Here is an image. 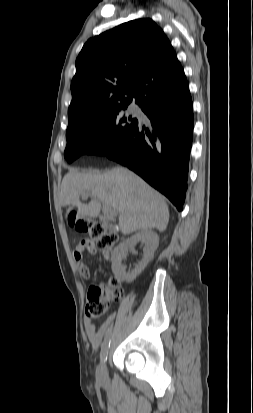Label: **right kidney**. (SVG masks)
I'll return each instance as SVG.
<instances>
[{
  "label": "right kidney",
  "mask_w": 253,
  "mask_h": 413,
  "mask_svg": "<svg viewBox=\"0 0 253 413\" xmlns=\"http://www.w3.org/2000/svg\"><path fill=\"white\" fill-rule=\"evenodd\" d=\"M144 242L146 247L141 261L130 272H126V267L122 265V260L126 257L128 249H133L137 243ZM159 245V236L151 230H141L134 234L117 247L112 254V271L118 280L132 282L147 266L154 256V252Z\"/></svg>",
  "instance_id": "obj_1"
}]
</instances>
